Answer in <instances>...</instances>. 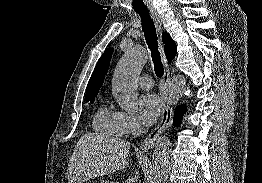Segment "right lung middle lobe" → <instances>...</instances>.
I'll return each instance as SVG.
<instances>
[{"label": "right lung middle lobe", "instance_id": "right-lung-middle-lobe-1", "mask_svg": "<svg viewBox=\"0 0 262 183\" xmlns=\"http://www.w3.org/2000/svg\"><path fill=\"white\" fill-rule=\"evenodd\" d=\"M90 101L91 103L94 102V99H86V102Z\"/></svg>", "mask_w": 262, "mask_h": 183}]
</instances>
